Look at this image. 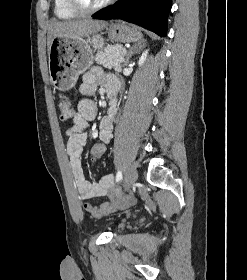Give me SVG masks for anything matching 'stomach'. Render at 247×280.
I'll return each mask as SVG.
<instances>
[{"mask_svg": "<svg viewBox=\"0 0 247 280\" xmlns=\"http://www.w3.org/2000/svg\"><path fill=\"white\" fill-rule=\"evenodd\" d=\"M111 41L130 43L142 39L141 32L124 22L106 27ZM104 39L94 33L84 38L55 37L49 50L50 81L54 87L67 91L75 86L78 76L93 64V50L102 49Z\"/></svg>", "mask_w": 247, "mask_h": 280, "instance_id": "stomach-1", "label": "stomach"}]
</instances>
